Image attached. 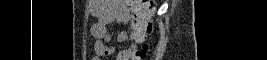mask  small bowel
<instances>
[{"label": "small bowel", "instance_id": "1", "mask_svg": "<svg viewBox=\"0 0 267 60\" xmlns=\"http://www.w3.org/2000/svg\"><path fill=\"white\" fill-rule=\"evenodd\" d=\"M90 12L98 18V21L91 27V34L95 38L94 50L96 56L93 59L99 60L115 53V47L108 44L111 38L108 26L114 23L132 29L130 35L124 30L117 34V43L127 44L131 42V45L119 51L116 59L133 60L134 48L136 44L140 43V33L134 27L127 3L124 0H91Z\"/></svg>", "mask_w": 267, "mask_h": 60}]
</instances>
